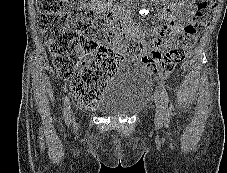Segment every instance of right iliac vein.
<instances>
[{
  "label": "right iliac vein",
  "mask_w": 227,
  "mask_h": 173,
  "mask_svg": "<svg viewBox=\"0 0 227 173\" xmlns=\"http://www.w3.org/2000/svg\"><path fill=\"white\" fill-rule=\"evenodd\" d=\"M71 121H74V117L72 116Z\"/></svg>",
  "instance_id": "1"
}]
</instances>
